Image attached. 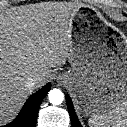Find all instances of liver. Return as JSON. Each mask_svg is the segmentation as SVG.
I'll return each mask as SVG.
<instances>
[{
	"mask_svg": "<svg viewBox=\"0 0 127 127\" xmlns=\"http://www.w3.org/2000/svg\"><path fill=\"white\" fill-rule=\"evenodd\" d=\"M82 5H24L0 14V124L9 121L33 90L72 52L71 24ZM38 77L29 89V78Z\"/></svg>",
	"mask_w": 127,
	"mask_h": 127,
	"instance_id": "6515ba94",
	"label": "liver"
}]
</instances>
